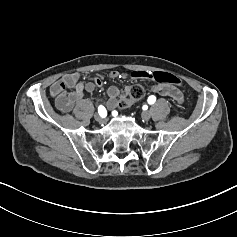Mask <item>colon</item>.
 Segmentation results:
<instances>
[{
	"label": "colon",
	"instance_id": "colon-1",
	"mask_svg": "<svg viewBox=\"0 0 237 237\" xmlns=\"http://www.w3.org/2000/svg\"><path fill=\"white\" fill-rule=\"evenodd\" d=\"M149 79L161 84L182 85V81L177 76L167 72H150ZM146 92L145 84H135L127 89L123 98L118 102L121 109L129 107L134 101L141 99Z\"/></svg>",
	"mask_w": 237,
	"mask_h": 237
}]
</instances>
